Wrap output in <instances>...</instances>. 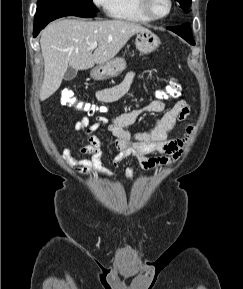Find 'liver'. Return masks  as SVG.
<instances>
[{"label":"liver","mask_w":243,"mask_h":289,"mask_svg":"<svg viewBox=\"0 0 243 289\" xmlns=\"http://www.w3.org/2000/svg\"><path fill=\"white\" fill-rule=\"evenodd\" d=\"M147 29L123 20L84 21L60 19L42 31L40 45L44 59V79L40 100L53 95L62 83L67 68L86 70L113 59L134 35ZM97 42L91 52L89 44Z\"/></svg>","instance_id":"1"}]
</instances>
